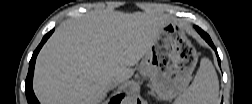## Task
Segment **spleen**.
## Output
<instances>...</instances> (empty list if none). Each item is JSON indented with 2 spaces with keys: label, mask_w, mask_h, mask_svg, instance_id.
<instances>
[{
  "label": "spleen",
  "mask_w": 252,
  "mask_h": 104,
  "mask_svg": "<svg viewBox=\"0 0 252 104\" xmlns=\"http://www.w3.org/2000/svg\"><path fill=\"white\" fill-rule=\"evenodd\" d=\"M219 100V81L212 62L202 58L192 84L177 99V104H216Z\"/></svg>",
  "instance_id": "1"
}]
</instances>
